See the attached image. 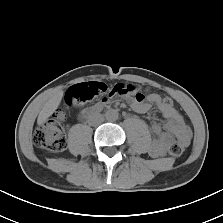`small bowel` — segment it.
<instances>
[{"mask_svg": "<svg viewBox=\"0 0 223 223\" xmlns=\"http://www.w3.org/2000/svg\"><path fill=\"white\" fill-rule=\"evenodd\" d=\"M128 102L132 109L140 114L149 111L151 105H155L166 122L161 125L153 123L151 126L152 132L155 136L149 147V154L152 157H161L166 153L169 144L178 140L183 146H188L191 140V131L185 124L182 115L172 106L165 107L163 99L158 94H151L144 100H138L135 97H129ZM109 99L104 98L96 103L93 108H97V112L104 106L108 105Z\"/></svg>", "mask_w": 223, "mask_h": 223, "instance_id": "c3829d8e", "label": "small bowel"}]
</instances>
